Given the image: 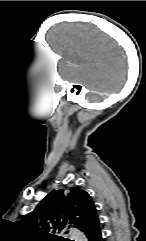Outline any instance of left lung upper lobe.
Segmentation results:
<instances>
[{
	"label": "left lung upper lobe",
	"mask_w": 146,
	"mask_h": 241,
	"mask_svg": "<svg viewBox=\"0 0 146 241\" xmlns=\"http://www.w3.org/2000/svg\"><path fill=\"white\" fill-rule=\"evenodd\" d=\"M97 220L98 215L90 195L78 187H71L69 190L60 189L49 193L21 223L37 241H64L67 239L56 233L63 231L66 223L83 231Z\"/></svg>",
	"instance_id": "1"
}]
</instances>
